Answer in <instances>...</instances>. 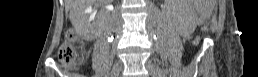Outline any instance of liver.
Segmentation results:
<instances>
[{
	"label": "liver",
	"instance_id": "6515ba94",
	"mask_svg": "<svg viewBox=\"0 0 258 77\" xmlns=\"http://www.w3.org/2000/svg\"><path fill=\"white\" fill-rule=\"evenodd\" d=\"M96 0H65V7L67 10L70 9V20L74 23V15L73 10H77L78 8H85L88 5H91Z\"/></svg>",
	"mask_w": 258,
	"mask_h": 77
}]
</instances>
